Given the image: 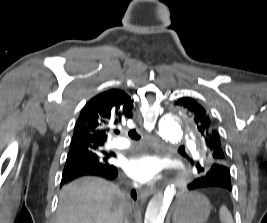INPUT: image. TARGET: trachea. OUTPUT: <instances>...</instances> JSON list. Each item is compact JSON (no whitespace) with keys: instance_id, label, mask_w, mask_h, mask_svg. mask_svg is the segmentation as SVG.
Wrapping results in <instances>:
<instances>
[{"instance_id":"1","label":"trachea","mask_w":267,"mask_h":223,"mask_svg":"<svg viewBox=\"0 0 267 223\" xmlns=\"http://www.w3.org/2000/svg\"><path fill=\"white\" fill-rule=\"evenodd\" d=\"M128 135L132 140H139L140 139V135L136 132V130H130Z\"/></svg>"}]
</instances>
